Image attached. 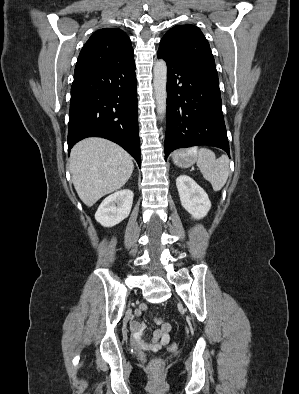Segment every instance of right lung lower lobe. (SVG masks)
Masks as SVG:
<instances>
[{"instance_id":"obj_1","label":"right lung lower lobe","mask_w":299,"mask_h":394,"mask_svg":"<svg viewBox=\"0 0 299 394\" xmlns=\"http://www.w3.org/2000/svg\"><path fill=\"white\" fill-rule=\"evenodd\" d=\"M134 61L74 73L68 150L98 136L122 146L141 165Z\"/></svg>"}]
</instances>
